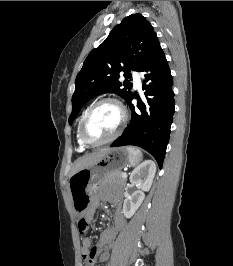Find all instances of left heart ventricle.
<instances>
[{"label":"left heart ventricle","mask_w":233,"mask_h":266,"mask_svg":"<svg viewBox=\"0 0 233 266\" xmlns=\"http://www.w3.org/2000/svg\"><path fill=\"white\" fill-rule=\"evenodd\" d=\"M121 122V112L112 103H105L98 107L89 118L86 128V137L93 142L110 137Z\"/></svg>","instance_id":"left-heart-ventricle-1"}]
</instances>
